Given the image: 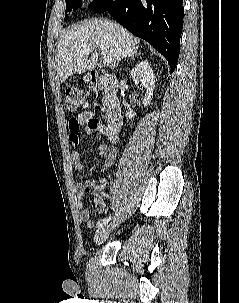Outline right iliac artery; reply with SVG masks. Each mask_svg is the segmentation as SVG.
<instances>
[{"instance_id": "82829eb1", "label": "right iliac artery", "mask_w": 239, "mask_h": 303, "mask_svg": "<svg viewBox=\"0 0 239 303\" xmlns=\"http://www.w3.org/2000/svg\"><path fill=\"white\" fill-rule=\"evenodd\" d=\"M110 219H111V217H107V218H104V219H101L100 221H98V223H97L98 229L102 228L104 225H106L110 221Z\"/></svg>"}]
</instances>
